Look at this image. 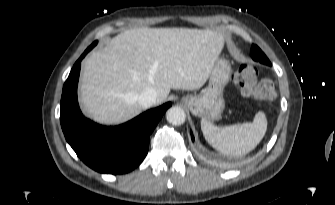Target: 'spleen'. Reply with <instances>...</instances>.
Returning <instances> with one entry per match:
<instances>
[{"label":"spleen","instance_id":"obj_1","mask_svg":"<svg viewBox=\"0 0 335 205\" xmlns=\"http://www.w3.org/2000/svg\"><path fill=\"white\" fill-rule=\"evenodd\" d=\"M201 129L206 141L213 148L226 156L240 157L252 151L263 139L267 130V119L260 111L251 123L218 127L202 118Z\"/></svg>","mask_w":335,"mask_h":205}]
</instances>
